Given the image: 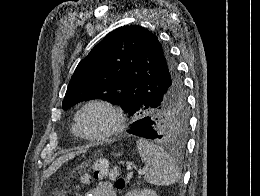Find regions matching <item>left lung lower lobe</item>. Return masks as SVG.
<instances>
[{"instance_id": "left-lung-lower-lobe-1", "label": "left lung lower lobe", "mask_w": 260, "mask_h": 196, "mask_svg": "<svg viewBox=\"0 0 260 196\" xmlns=\"http://www.w3.org/2000/svg\"><path fill=\"white\" fill-rule=\"evenodd\" d=\"M127 132L147 139H158V134L154 129V122L148 118L135 121Z\"/></svg>"}]
</instances>
